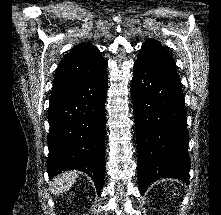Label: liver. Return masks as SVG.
<instances>
[{"label": "liver", "mask_w": 221, "mask_h": 215, "mask_svg": "<svg viewBox=\"0 0 221 215\" xmlns=\"http://www.w3.org/2000/svg\"><path fill=\"white\" fill-rule=\"evenodd\" d=\"M78 177L77 171H67L59 174L52 181V193L59 195L63 192L68 191Z\"/></svg>", "instance_id": "liver-1"}]
</instances>
